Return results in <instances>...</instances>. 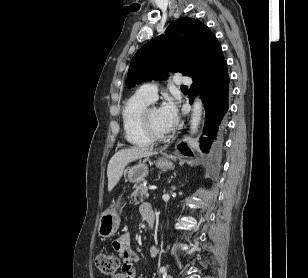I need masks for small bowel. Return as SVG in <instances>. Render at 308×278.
<instances>
[{
    "label": "small bowel",
    "mask_w": 308,
    "mask_h": 278,
    "mask_svg": "<svg viewBox=\"0 0 308 278\" xmlns=\"http://www.w3.org/2000/svg\"><path fill=\"white\" fill-rule=\"evenodd\" d=\"M143 217L154 215V209L149 204H143L140 208ZM113 250L123 259L122 270L111 276V278H137L134 264L138 261V255L131 247V236L129 233H123L117 240L113 242ZM159 252V248L154 245L150 249V255L155 258Z\"/></svg>",
    "instance_id": "obj_1"
}]
</instances>
